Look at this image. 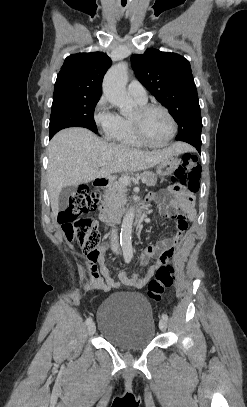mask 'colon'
Returning a JSON list of instances; mask_svg holds the SVG:
<instances>
[{"instance_id": "1", "label": "colon", "mask_w": 247, "mask_h": 407, "mask_svg": "<svg viewBox=\"0 0 247 407\" xmlns=\"http://www.w3.org/2000/svg\"><path fill=\"white\" fill-rule=\"evenodd\" d=\"M201 167L198 157L192 153H186L182 157V163L176 170L173 181H179L180 189L191 194L199 190ZM192 200L191 198H189ZM99 201V195L92 193L87 187H80L70 197L68 207L58 217L63 232L69 241H76L80 248L94 256L100 241L98 223L87 217L86 214L93 211ZM175 275L173 266H161L157 269L155 278L148 282L147 294L150 299L159 301L164 291L174 283Z\"/></svg>"}]
</instances>
